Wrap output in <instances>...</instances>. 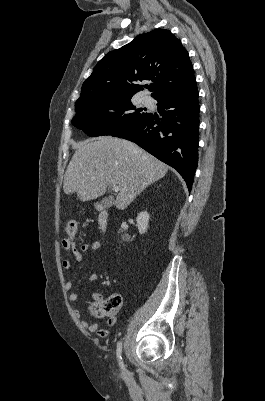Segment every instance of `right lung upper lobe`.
I'll return each mask as SVG.
<instances>
[{"label": "right lung upper lobe", "mask_w": 265, "mask_h": 401, "mask_svg": "<svg viewBox=\"0 0 265 401\" xmlns=\"http://www.w3.org/2000/svg\"><path fill=\"white\" fill-rule=\"evenodd\" d=\"M152 80L151 96L180 92L196 82L188 52L169 30L156 29L107 53L83 83L75 106L102 96L132 97L134 81ZM131 82V84L129 82Z\"/></svg>", "instance_id": "right-lung-upper-lobe-1"}]
</instances>
